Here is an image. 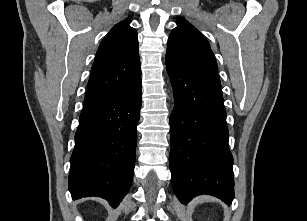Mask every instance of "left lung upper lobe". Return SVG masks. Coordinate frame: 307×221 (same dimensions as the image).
Wrapping results in <instances>:
<instances>
[{"label":"left lung upper lobe","mask_w":307,"mask_h":221,"mask_svg":"<svg viewBox=\"0 0 307 221\" xmlns=\"http://www.w3.org/2000/svg\"><path fill=\"white\" fill-rule=\"evenodd\" d=\"M171 31L166 56L172 58L200 82L221 92L217 63L208 41L184 18Z\"/></svg>","instance_id":"obj_1"}]
</instances>
